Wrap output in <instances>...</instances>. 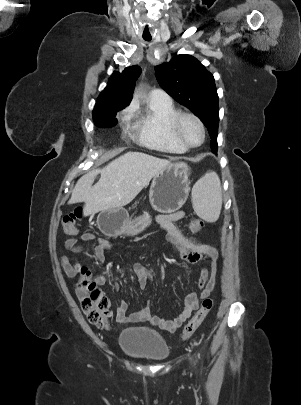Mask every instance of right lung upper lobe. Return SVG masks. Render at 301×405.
<instances>
[{"label":"right lung upper lobe","mask_w":301,"mask_h":405,"mask_svg":"<svg viewBox=\"0 0 301 405\" xmlns=\"http://www.w3.org/2000/svg\"><path fill=\"white\" fill-rule=\"evenodd\" d=\"M140 73L138 66L127 67L122 73L115 71L99 95L94 109L114 111L126 107L132 99L135 81Z\"/></svg>","instance_id":"right-lung-upper-lobe-1"}]
</instances>
